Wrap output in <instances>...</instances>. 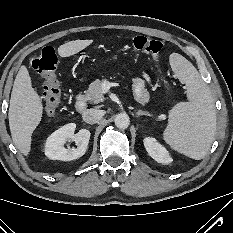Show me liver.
I'll return each instance as SVG.
<instances>
[{
  "label": "liver",
  "mask_w": 233,
  "mask_h": 233,
  "mask_svg": "<svg viewBox=\"0 0 233 233\" xmlns=\"http://www.w3.org/2000/svg\"><path fill=\"white\" fill-rule=\"evenodd\" d=\"M93 40L69 41L58 48L61 57L72 56ZM43 114V105L34 90L27 68L22 65L14 81L8 112L11 136L16 148L25 156L31 151L32 133L39 125Z\"/></svg>",
  "instance_id": "liver-1"
}]
</instances>
